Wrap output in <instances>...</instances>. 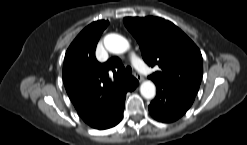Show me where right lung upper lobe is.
<instances>
[{
    "label": "right lung upper lobe",
    "mask_w": 247,
    "mask_h": 145,
    "mask_svg": "<svg viewBox=\"0 0 247 145\" xmlns=\"http://www.w3.org/2000/svg\"><path fill=\"white\" fill-rule=\"evenodd\" d=\"M109 24L96 21L84 28L69 46L63 65L66 91L80 117L89 125L115 112L121 92L131 77L109 78L120 64L118 58L99 63L95 58L98 40Z\"/></svg>",
    "instance_id": "obj_1"
}]
</instances>
